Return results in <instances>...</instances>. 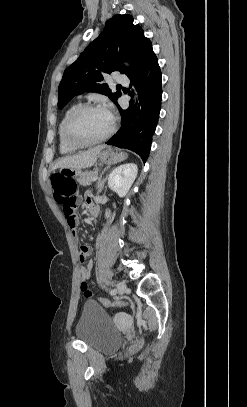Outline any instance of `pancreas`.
I'll list each match as a JSON object with an SVG mask.
<instances>
[{
	"label": "pancreas",
	"instance_id": "obj_1",
	"mask_svg": "<svg viewBox=\"0 0 247 407\" xmlns=\"http://www.w3.org/2000/svg\"><path fill=\"white\" fill-rule=\"evenodd\" d=\"M97 170L94 171H86L77 178V182L82 186H88L92 183V178L97 175Z\"/></svg>",
	"mask_w": 247,
	"mask_h": 407
}]
</instances>
